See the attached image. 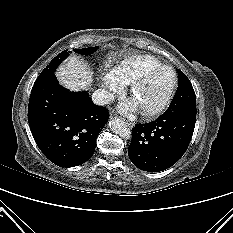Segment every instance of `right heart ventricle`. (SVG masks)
<instances>
[{
    "label": "right heart ventricle",
    "instance_id": "right-heart-ventricle-1",
    "mask_svg": "<svg viewBox=\"0 0 233 233\" xmlns=\"http://www.w3.org/2000/svg\"><path fill=\"white\" fill-rule=\"evenodd\" d=\"M162 66L156 58L148 55L134 56L123 60L115 69L124 85L134 82L146 70Z\"/></svg>",
    "mask_w": 233,
    "mask_h": 233
}]
</instances>
